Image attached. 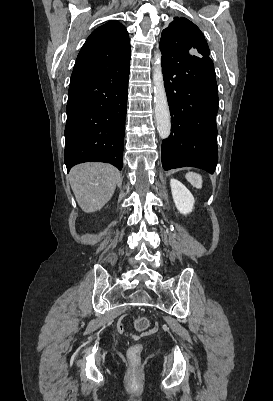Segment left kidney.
<instances>
[{
    "instance_id": "left-kidney-1",
    "label": "left kidney",
    "mask_w": 273,
    "mask_h": 401,
    "mask_svg": "<svg viewBox=\"0 0 273 401\" xmlns=\"http://www.w3.org/2000/svg\"><path fill=\"white\" fill-rule=\"evenodd\" d=\"M170 186L172 190L173 201L182 215H188L191 213L194 207V196L190 190L176 178H171Z\"/></svg>"
}]
</instances>
